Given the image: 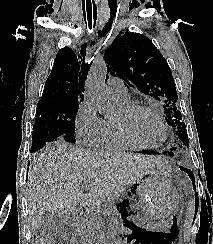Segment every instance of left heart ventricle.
<instances>
[{
  "label": "left heart ventricle",
  "mask_w": 213,
  "mask_h": 244,
  "mask_svg": "<svg viewBox=\"0 0 213 244\" xmlns=\"http://www.w3.org/2000/svg\"><path fill=\"white\" fill-rule=\"evenodd\" d=\"M114 121L122 123L133 137L144 144L157 145L163 139V128L149 112L128 113L122 107Z\"/></svg>",
  "instance_id": "left-heart-ventricle-1"
}]
</instances>
